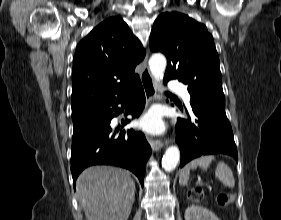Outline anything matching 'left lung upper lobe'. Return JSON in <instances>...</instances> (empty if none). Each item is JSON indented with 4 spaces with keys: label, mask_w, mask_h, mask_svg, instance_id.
Masks as SVG:
<instances>
[{
    "label": "left lung upper lobe",
    "mask_w": 281,
    "mask_h": 220,
    "mask_svg": "<svg viewBox=\"0 0 281 220\" xmlns=\"http://www.w3.org/2000/svg\"><path fill=\"white\" fill-rule=\"evenodd\" d=\"M150 49L168 59L164 81L187 84L196 103L225 105L219 57L205 25L182 13H162L153 24Z\"/></svg>",
    "instance_id": "obj_1"
}]
</instances>
